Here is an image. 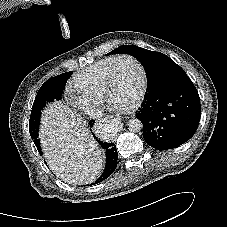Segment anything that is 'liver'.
<instances>
[{"label":"liver","instance_id":"6515ba94","mask_svg":"<svg viewBox=\"0 0 227 227\" xmlns=\"http://www.w3.org/2000/svg\"><path fill=\"white\" fill-rule=\"evenodd\" d=\"M39 138L49 168L63 181L81 185L93 182L102 170V153L76 112L61 102L42 113Z\"/></svg>","mask_w":227,"mask_h":227}]
</instances>
